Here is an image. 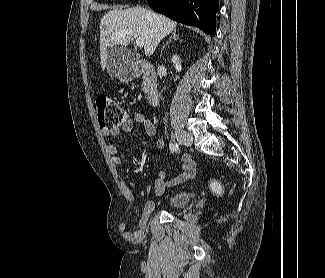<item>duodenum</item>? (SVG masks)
I'll use <instances>...</instances> for the list:
<instances>
[{"label":"duodenum","instance_id":"410a0bca","mask_svg":"<svg viewBox=\"0 0 325 278\" xmlns=\"http://www.w3.org/2000/svg\"><path fill=\"white\" fill-rule=\"evenodd\" d=\"M135 75L142 79L143 92L147 103L150 106L158 105L160 95L158 90L156 73L151 64L140 60L135 66Z\"/></svg>","mask_w":325,"mask_h":278}]
</instances>
